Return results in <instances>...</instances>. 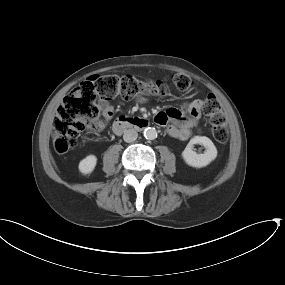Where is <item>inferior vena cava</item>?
I'll list each match as a JSON object with an SVG mask.
<instances>
[{
  "instance_id": "602c4592",
  "label": "inferior vena cava",
  "mask_w": 285,
  "mask_h": 285,
  "mask_svg": "<svg viewBox=\"0 0 285 285\" xmlns=\"http://www.w3.org/2000/svg\"><path fill=\"white\" fill-rule=\"evenodd\" d=\"M138 133L134 129H128L124 132L123 139L125 142H133L137 139Z\"/></svg>"
}]
</instances>
